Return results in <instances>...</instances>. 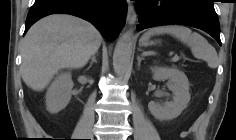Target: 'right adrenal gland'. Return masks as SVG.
Instances as JSON below:
<instances>
[{"label":"right adrenal gland","instance_id":"obj_1","mask_svg":"<svg viewBox=\"0 0 236 140\" xmlns=\"http://www.w3.org/2000/svg\"><path fill=\"white\" fill-rule=\"evenodd\" d=\"M96 54H97V53H95V54L92 55L89 68L93 65V63H96Z\"/></svg>","mask_w":236,"mask_h":140}]
</instances>
